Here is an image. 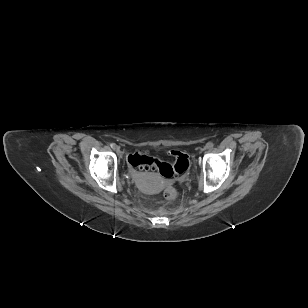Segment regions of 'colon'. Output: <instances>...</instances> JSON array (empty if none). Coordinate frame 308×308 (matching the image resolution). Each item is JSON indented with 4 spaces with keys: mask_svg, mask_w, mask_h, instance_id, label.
I'll use <instances>...</instances> for the list:
<instances>
[{
    "mask_svg": "<svg viewBox=\"0 0 308 308\" xmlns=\"http://www.w3.org/2000/svg\"><path fill=\"white\" fill-rule=\"evenodd\" d=\"M171 155L174 157L173 163H161L147 155L145 152L140 151L129 156V162L131 165L140 169H156L162 176L170 178L175 173H183L189 166V159L185 153L174 150L171 151ZM177 196L178 191L172 185L167 186L164 190V197L168 200H175Z\"/></svg>",
    "mask_w": 308,
    "mask_h": 308,
    "instance_id": "1",
    "label": "colon"
}]
</instances>
